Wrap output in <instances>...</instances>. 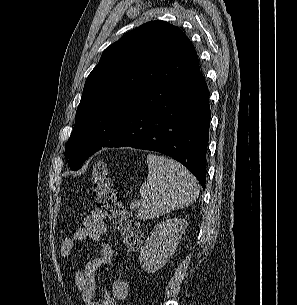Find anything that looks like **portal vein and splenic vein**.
Masks as SVG:
<instances>
[{
	"instance_id": "obj_1",
	"label": "portal vein and splenic vein",
	"mask_w": 297,
	"mask_h": 305,
	"mask_svg": "<svg viewBox=\"0 0 297 305\" xmlns=\"http://www.w3.org/2000/svg\"><path fill=\"white\" fill-rule=\"evenodd\" d=\"M137 204H132L131 207L134 208Z\"/></svg>"
}]
</instances>
